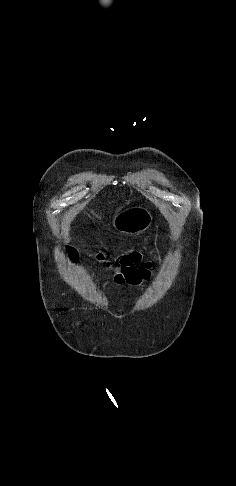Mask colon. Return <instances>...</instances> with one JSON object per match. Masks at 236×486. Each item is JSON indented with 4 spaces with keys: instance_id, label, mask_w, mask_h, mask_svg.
<instances>
[{
    "instance_id": "1",
    "label": "colon",
    "mask_w": 236,
    "mask_h": 486,
    "mask_svg": "<svg viewBox=\"0 0 236 486\" xmlns=\"http://www.w3.org/2000/svg\"><path fill=\"white\" fill-rule=\"evenodd\" d=\"M70 256H71L72 258H74V257H75V253H74L73 251H70ZM98 258H99L100 260H104V259L106 258V255H105L104 253H100V254H98Z\"/></svg>"
}]
</instances>
